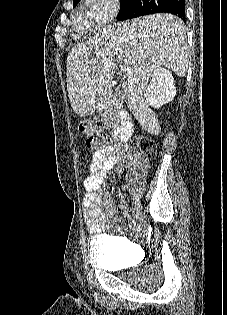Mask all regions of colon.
Returning <instances> with one entry per match:
<instances>
[{"instance_id":"5ec220e1","label":"colon","mask_w":227,"mask_h":315,"mask_svg":"<svg viewBox=\"0 0 227 315\" xmlns=\"http://www.w3.org/2000/svg\"><path fill=\"white\" fill-rule=\"evenodd\" d=\"M78 131L86 138V144L90 148H99L105 142L104 133L90 119H81L78 122ZM138 144L148 154H152L155 150L153 142L148 139L140 138Z\"/></svg>"}]
</instances>
